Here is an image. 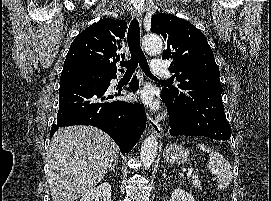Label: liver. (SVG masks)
Here are the masks:
<instances>
[{
    "label": "liver",
    "mask_w": 271,
    "mask_h": 201,
    "mask_svg": "<svg viewBox=\"0 0 271 201\" xmlns=\"http://www.w3.org/2000/svg\"><path fill=\"white\" fill-rule=\"evenodd\" d=\"M118 146L93 126L59 128L49 146L53 201H75L92 190L118 159Z\"/></svg>",
    "instance_id": "obj_1"
}]
</instances>
